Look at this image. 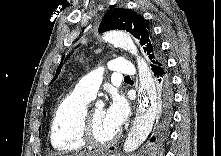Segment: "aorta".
I'll use <instances>...</instances> for the list:
<instances>
[{"mask_svg": "<svg viewBox=\"0 0 221 156\" xmlns=\"http://www.w3.org/2000/svg\"><path fill=\"white\" fill-rule=\"evenodd\" d=\"M109 43L116 46H126L131 43V38L124 32L115 31L107 35ZM143 78L141 79L140 99L138 114L134 126L125 142V150L137 149L149 136L154 124L155 85L149 67L142 61Z\"/></svg>", "mask_w": 221, "mask_h": 156, "instance_id": "762f6f07", "label": "aorta"}]
</instances>
